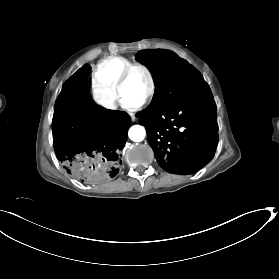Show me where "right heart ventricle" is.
I'll list each match as a JSON object with an SVG mask.
<instances>
[{
  "label": "right heart ventricle",
  "instance_id": "1",
  "mask_svg": "<svg viewBox=\"0 0 279 279\" xmlns=\"http://www.w3.org/2000/svg\"><path fill=\"white\" fill-rule=\"evenodd\" d=\"M132 60L122 56H109L100 60L92 69V83L101 84L117 93L118 78Z\"/></svg>",
  "mask_w": 279,
  "mask_h": 279
}]
</instances>
